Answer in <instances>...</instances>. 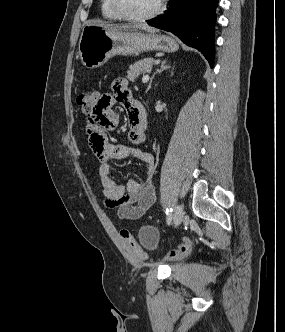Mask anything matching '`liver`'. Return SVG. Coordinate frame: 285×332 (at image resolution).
Segmentation results:
<instances>
[{
    "instance_id": "6515ba94",
    "label": "liver",
    "mask_w": 285,
    "mask_h": 332,
    "mask_svg": "<svg viewBox=\"0 0 285 332\" xmlns=\"http://www.w3.org/2000/svg\"><path fill=\"white\" fill-rule=\"evenodd\" d=\"M95 25H99V26H102V27H105L113 32H124V31H128L130 29H133V31H135L136 29H142V30H145L147 32H150V33H155L157 32L158 30L153 28V27H149L147 25H142V26H132V25H122V26H113V25H109V24H106V23H95Z\"/></svg>"
}]
</instances>
